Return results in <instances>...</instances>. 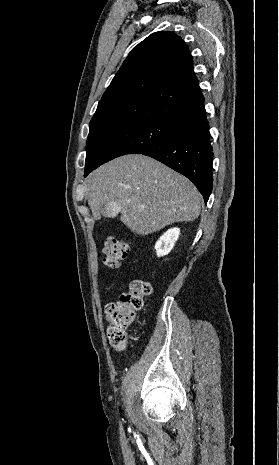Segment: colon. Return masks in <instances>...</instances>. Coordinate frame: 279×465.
I'll use <instances>...</instances> for the list:
<instances>
[{
	"mask_svg": "<svg viewBox=\"0 0 279 465\" xmlns=\"http://www.w3.org/2000/svg\"><path fill=\"white\" fill-rule=\"evenodd\" d=\"M129 245L123 239L109 237L104 243V264L109 269L119 267L127 257ZM151 292V286L141 278L131 281L129 289L123 292L119 300L109 303L105 308V318L108 323L107 336L110 345L122 351L128 344V331L136 319L137 312L143 307L144 299Z\"/></svg>",
	"mask_w": 279,
	"mask_h": 465,
	"instance_id": "1",
	"label": "colon"
}]
</instances>
